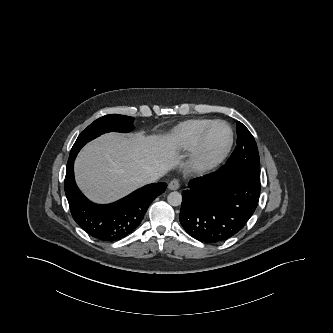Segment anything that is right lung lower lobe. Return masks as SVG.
Wrapping results in <instances>:
<instances>
[{
  "label": "right lung lower lobe",
  "instance_id": "1",
  "mask_svg": "<svg viewBox=\"0 0 333 333\" xmlns=\"http://www.w3.org/2000/svg\"><path fill=\"white\" fill-rule=\"evenodd\" d=\"M74 160L67 163L65 194L75 222L90 236L101 241H117L132 233L141 223L153 198L166 190V183L146 185L108 205L89 201L74 179Z\"/></svg>",
  "mask_w": 333,
  "mask_h": 333
}]
</instances>
